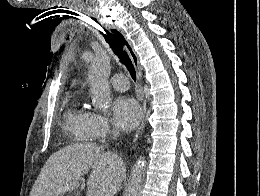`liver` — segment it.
<instances>
[{"mask_svg": "<svg viewBox=\"0 0 260 196\" xmlns=\"http://www.w3.org/2000/svg\"><path fill=\"white\" fill-rule=\"evenodd\" d=\"M88 172L86 196H115L126 176L125 164L114 152H104L103 146L96 144H73L50 156L30 196H55L60 188L77 184Z\"/></svg>", "mask_w": 260, "mask_h": 196, "instance_id": "liver-1", "label": "liver"}]
</instances>
